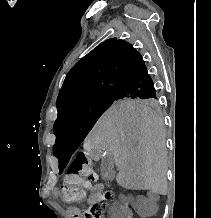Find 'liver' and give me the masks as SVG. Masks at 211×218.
<instances>
[{
  "label": "liver",
  "instance_id": "1",
  "mask_svg": "<svg viewBox=\"0 0 211 218\" xmlns=\"http://www.w3.org/2000/svg\"><path fill=\"white\" fill-rule=\"evenodd\" d=\"M84 152H106L119 170L116 182L127 190H152L165 196L166 148L162 120L148 108L113 104L91 130Z\"/></svg>",
  "mask_w": 211,
  "mask_h": 218
}]
</instances>
